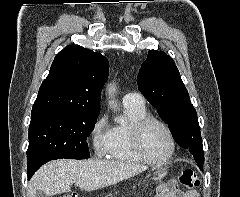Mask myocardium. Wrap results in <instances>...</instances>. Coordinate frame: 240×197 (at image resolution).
Here are the masks:
<instances>
[{
	"label": "myocardium",
	"mask_w": 240,
	"mask_h": 197,
	"mask_svg": "<svg viewBox=\"0 0 240 197\" xmlns=\"http://www.w3.org/2000/svg\"><path fill=\"white\" fill-rule=\"evenodd\" d=\"M156 123L163 127V129L166 131V133L169 136L170 143H171V150L170 153L163 159H153L151 158L148 153L146 152L143 144V134L145 129L150 125ZM130 139H131V144L133 146L134 151L136 154L145 162L153 165H163L170 160L173 159L175 153H176V148H177V143L176 139L174 136V133L170 126L163 121L160 118L154 117V116H145L144 118L134 122L131 125L130 128Z\"/></svg>",
	"instance_id": "myocardium-1"
}]
</instances>
